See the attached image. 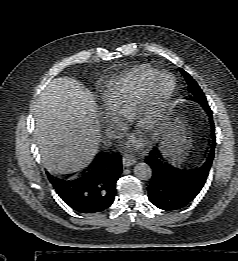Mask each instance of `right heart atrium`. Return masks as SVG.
Returning a JSON list of instances; mask_svg holds the SVG:
<instances>
[{
    "label": "right heart atrium",
    "instance_id": "obj_1",
    "mask_svg": "<svg viewBox=\"0 0 238 261\" xmlns=\"http://www.w3.org/2000/svg\"><path fill=\"white\" fill-rule=\"evenodd\" d=\"M104 123L108 130V133L111 136H114L118 130H120L124 124V120L122 115L112 113V112H105L104 113Z\"/></svg>",
    "mask_w": 238,
    "mask_h": 261
}]
</instances>
